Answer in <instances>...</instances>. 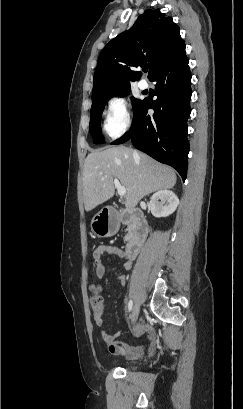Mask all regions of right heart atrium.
<instances>
[{
	"label": "right heart atrium",
	"instance_id": "right-heart-atrium-1",
	"mask_svg": "<svg viewBox=\"0 0 243 409\" xmlns=\"http://www.w3.org/2000/svg\"><path fill=\"white\" fill-rule=\"evenodd\" d=\"M131 126L128 99L122 95L111 96L104 110V130L110 138H118Z\"/></svg>",
	"mask_w": 243,
	"mask_h": 409
}]
</instances>
